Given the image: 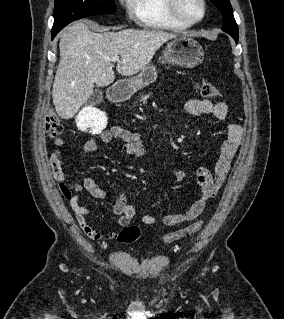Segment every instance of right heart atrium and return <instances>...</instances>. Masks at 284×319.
<instances>
[{
	"label": "right heart atrium",
	"mask_w": 284,
	"mask_h": 319,
	"mask_svg": "<svg viewBox=\"0 0 284 319\" xmlns=\"http://www.w3.org/2000/svg\"><path fill=\"white\" fill-rule=\"evenodd\" d=\"M119 3L126 10L128 16L134 15V0H119Z\"/></svg>",
	"instance_id": "1"
}]
</instances>
